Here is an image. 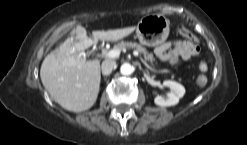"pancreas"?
Wrapping results in <instances>:
<instances>
[{
	"label": "pancreas",
	"mask_w": 247,
	"mask_h": 145,
	"mask_svg": "<svg viewBox=\"0 0 247 145\" xmlns=\"http://www.w3.org/2000/svg\"><path fill=\"white\" fill-rule=\"evenodd\" d=\"M113 49H118L124 51L126 49H135L139 53L143 54L145 61H149L151 64L155 61V58L152 53H149L146 48H144L141 44L132 43V42H120L114 45ZM161 73L166 72V70H160Z\"/></svg>",
	"instance_id": "1"
}]
</instances>
